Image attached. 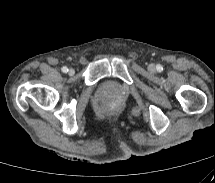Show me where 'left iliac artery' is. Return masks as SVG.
Wrapping results in <instances>:
<instances>
[{
  "mask_svg": "<svg viewBox=\"0 0 215 183\" xmlns=\"http://www.w3.org/2000/svg\"><path fill=\"white\" fill-rule=\"evenodd\" d=\"M156 69H157L158 71H161V70L163 69V67H162L161 65H157V66H156Z\"/></svg>",
  "mask_w": 215,
  "mask_h": 183,
  "instance_id": "1",
  "label": "left iliac artery"
}]
</instances>
